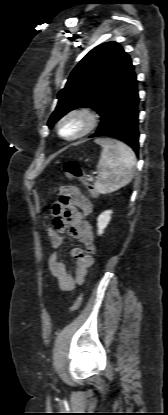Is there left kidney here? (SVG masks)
<instances>
[{"label": "left kidney", "mask_w": 168, "mask_h": 415, "mask_svg": "<svg viewBox=\"0 0 168 415\" xmlns=\"http://www.w3.org/2000/svg\"><path fill=\"white\" fill-rule=\"evenodd\" d=\"M111 214L112 211L111 210H107L103 213H101L98 216L97 219V226H98V234L101 235L103 233V230L107 227V225L109 224L110 220H111Z\"/></svg>", "instance_id": "obj_1"}]
</instances>
